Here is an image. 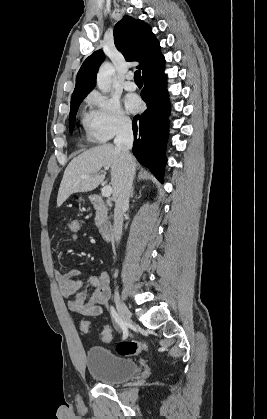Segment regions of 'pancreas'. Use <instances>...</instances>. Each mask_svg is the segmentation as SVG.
Masks as SVG:
<instances>
[{
	"label": "pancreas",
	"mask_w": 267,
	"mask_h": 419,
	"mask_svg": "<svg viewBox=\"0 0 267 419\" xmlns=\"http://www.w3.org/2000/svg\"><path fill=\"white\" fill-rule=\"evenodd\" d=\"M106 220V214L102 210H96V216H95V224L97 227H101Z\"/></svg>",
	"instance_id": "obj_1"
}]
</instances>
